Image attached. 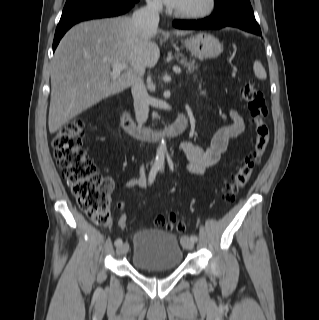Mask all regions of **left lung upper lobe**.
I'll return each instance as SVG.
<instances>
[{
    "label": "left lung upper lobe",
    "mask_w": 319,
    "mask_h": 320,
    "mask_svg": "<svg viewBox=\"0 0 319 320\" xmlns=\"http://www.w3.org/2000/svg\"><path fill=\"white\" fill-rule=\"evenodd\" d=\"M234 1H240V2H249V0H215V7L219 8L225 3L234 2Z\"/></svg>",
    "instance_id": "left-lung-upper-lobe-1"
}]
</instances>
